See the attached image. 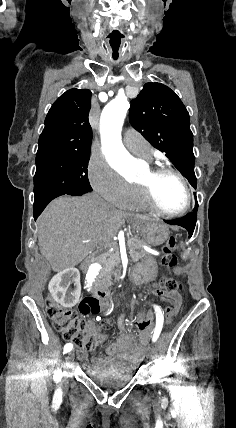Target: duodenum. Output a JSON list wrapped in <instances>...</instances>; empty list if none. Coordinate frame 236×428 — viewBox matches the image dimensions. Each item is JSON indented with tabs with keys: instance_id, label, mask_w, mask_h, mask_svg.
Instances as JSON below:
<instances>
[{
	"instance_id": "410a0bca",
	"label": "duodenum",
	"mask_w": 236,
	"mask_h": 428,
	"mask_svg": "<svg viewBox=\"0 0 236 428\" xmlns=\"http://www.w3.org/2000/svg\"><path fill=\"white\" fill-rule=\"evenodd\" d=\"M91 293L93 294V296L101 301H107L109 296H110V291L109 289L102 285V284H96L93 285L90 288Z\"/></svg>"
}]
</instances>
